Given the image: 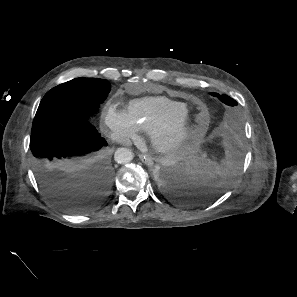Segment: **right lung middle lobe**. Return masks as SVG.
I'll return each instance as SVG.
<instances>
[{
    "mask_svg": "<svg viewBox=\"0 0 297 297\" xmlns=\"http://www.w3.org/2000/svg\"><path fill=\"white\" fill-rule=\"evenodd\" d=\"M110 91V83L98 78H76L51 89L43 97L32 129L64 118L90 120Z\"/></svg>",
    "mask_w": 297,
    "mask_h": 297,
    "instance_id": "obj_1",
    "label": "right lung middle lobe"
}]
</instances>
